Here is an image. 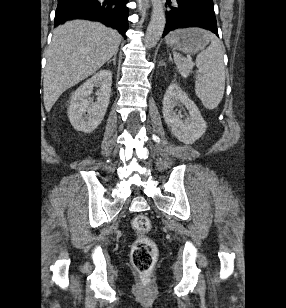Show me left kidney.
Instances as JSON below:
<instances>
[{"instance_id": "left-kidney-1", "label": "left kidney", "mask_w": 286, "mask_h": 308, "mask_svg": "<svg viewBox=\"0 0 286 308\" xmlns=\"http://www.w3.org/2000/svg\"><path fill=\"white\" fill-rule=\"evenodd\" d=\"M181 102L189 112V117L182 120V116L174 111V107ZM163 118L171 127L172 134L185 144H192L206 131L207 125L195 103L175 83H172L163 98Z\"/></svg>"}]
</instances>
